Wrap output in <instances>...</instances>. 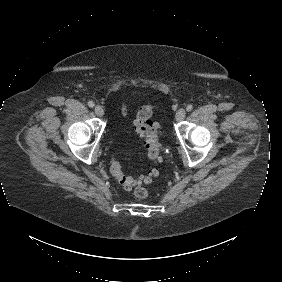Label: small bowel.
<instances>
[{"label":"small bowel","instance_id":"1","mask_svg":"<svg viewBox=\"0 0 282 282\" xmlns=\"http://www.w3.org/2000/svg\"><path fill=\"white\" fill-rule=\"evenodd\" d=\"M137 101H138V96H134L130 101L123 100L120 107L121 113L124 116L127 115L130 107L136 104Z\"/></svg>","mask_w":282,"mask_h":282}]
</instances>
